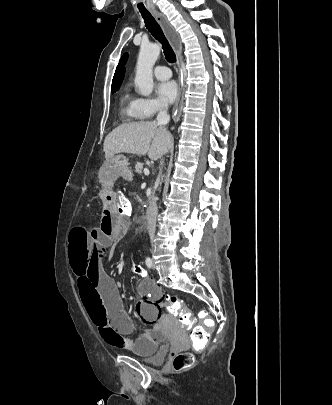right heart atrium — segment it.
Here are the masks:
<instances>
[{
	"label": "right heart atrium",
	"mask_w": 332,
	"mask_h": 405,
	"mask_svg": "<svg viewBox=\"0 0 332 405\" xmlns=\"http://www.w3.org/2000/svg\"><path fill=\"white\" fill-rule=\"evenodd\" d=\"M139 107L144 118H150L164 110L166 105L157 99H139Z\"/></svg>",
	"instance_id": "obj_1"
}]
</instances>
